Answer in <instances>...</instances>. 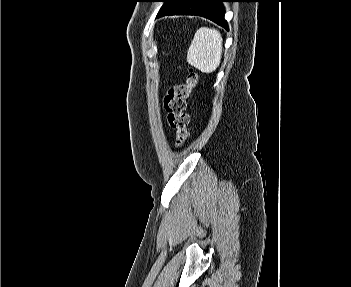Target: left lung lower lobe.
I'll list each match as a JSON object with an SVG mask.
<instances>
[{
  "label": "left lung lower lobe",
  "mask_w": 351,
  "mask_h": 287,
  "mask_svg": "<svg viewBox=\"0 0 351 287\" xmlns=\"http://www.w3.org/2000/svg\"><path fill=\"white\" fill-rule=\"evenodd\" d=\"M228 0H172L161 9L157 18L165 15H197L212 20L218 25L228 29L224 20V7L222 2Z\"/></svg>",
  "instance_id": "obj_1"
}]
</instances>
